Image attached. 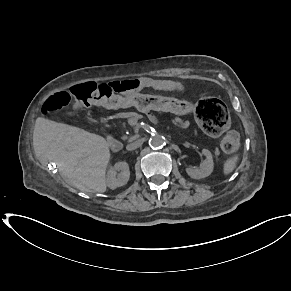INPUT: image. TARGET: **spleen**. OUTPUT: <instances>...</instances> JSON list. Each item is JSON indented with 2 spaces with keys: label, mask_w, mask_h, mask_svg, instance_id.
Returning a JSON list of instances; mask_svg holds the SVG:
<instances>
[{
  "label": "spleen",
  "mask_w": 291,
  "mask_h": 291,
  "mask_svg": "<svg viewBox=\"0 0 291 291\" xmlns=\"http://www.w3.org/2000/svg\"><path fill=\"white\" fill-rule=\"evenodd\" d=\"M239 160L238 155H233L232 157L228 158L223 165V173L224 175H228L233 172L236 168L237 162Z\"/></svg>",
  "instance_id": "1"
}]
</instances>
